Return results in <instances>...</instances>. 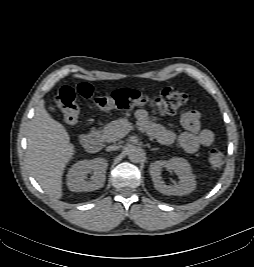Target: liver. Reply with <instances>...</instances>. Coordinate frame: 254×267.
Listing matches in <instances>:
<instances>
[{
    "instance_id": "liver-1",
    "label": "liver",
    "mask_w": 254,
    "mask_h": 267,
    "mask_svg": "<svg viewBox=\"0 0 254 267\" xmlns=\"http://www.w3.org/2000/svg\"><path fill=\"white\" fill-rule=\"evenodd\" d=\"M40 100L27 134L26 159L32 176L51 197L60 199L62 176L75 153L66 129L55 121Z\"/></svg>"
}]
</instances>
